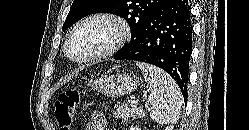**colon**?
Masks as SVG:
<instances>
[{
	"label": "colon",
	"instance_id": "obj_1",
	"mask_svg": "<svg viewBox=\"0 0 249 130\" xmlns=\"http://www.w3.org/2000/svg\"><path fill=\"white\" fill-rule=\"evenodd\" d=\"M79 91L69 89L59 95L54 104V116L60 130H70L75 109L79 104Z\"/></svg>",
	"mask_w": 249,
	"mask_h": 130
}]
</instances>
